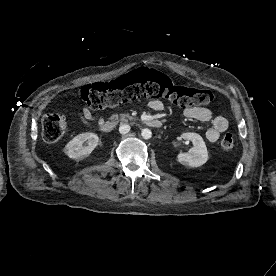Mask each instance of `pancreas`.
<instances>
[{
  "label": "pancreas",
  "instance_id": "pancreas-1",
  "mask_svg": "<svg viewBox=\"0 0 276 276\" xmlns=\"http://www.w3.org/2000/svg\"><path fill=\"white\" fill-rule=\"evenodd\" d=\"M115 122L121 121V122H127L128 120L134 119L131 115L129 114H122L119 118L117 114L113 115L111 117Z\"/></svg>",
  "mask_w": 276,
  "mask_h": 276
}]
</instances>
